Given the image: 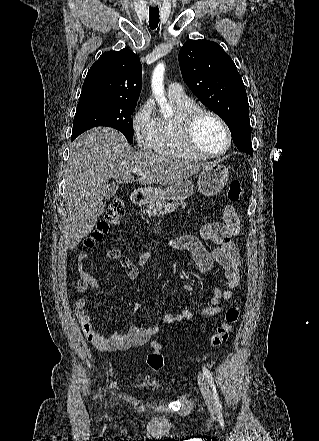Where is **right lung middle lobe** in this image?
<instances>
[{
  "instance_id": "right-lung-middle-lobe-1",
  "label": "right lung middle lobe",
  "mask_w": 319,
  "mask_h": 441,
  "mask_svg": "<svg viewBox=\"0 0 319 441\" xmlns=\"http://www.w3.org/2000/svg\"><path fill=\"white\" fill-rule=\"evenodd\" d=\"M136 103L113 100H79L73 122L71 140L84 131L108 126L122 132L127 140L133 141V123L131 115Z\"/></svg>"
}]
</instances>
